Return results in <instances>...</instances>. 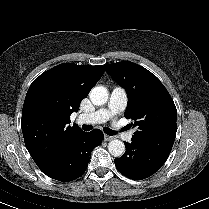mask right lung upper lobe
<instances>
[{"mask_svg": "<svg viewBox=\"0 0 209 209\" xmlns=\"http://www.w3.org/2000/svg\"><path fill=\"white\" fill-rule=\"evenodd\" d=\"M104 73L103 66L63 63L41 74L30 85L21 127L26 148L37 166L50 164L82 130L70 115Z\"/></svg>", "mask_w": 209, "mask_h": 209, "instance_id": "1", "label": "right lung upper lobe"}]
</instances>
